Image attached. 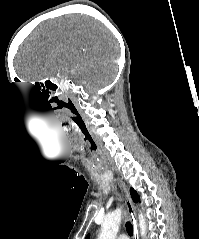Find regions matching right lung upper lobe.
Returning <instances> with one entry per match:
<instances>
[{
  "label": "right lung upper lobe",
  "instance_id": "cb5924a9",
  "mask_svg": "<svg viewBox=\"0 0 199 239\" xmlns=\"http://www.w3.org/2000/svg\"><path fill=\"white\" fill-rule=\"evenodd\" d=\"M86 239H90V235H88V236L86 237Z\"/></svg>",
  "mask_w": 199,
  "mask_h": 239
}]
</instances>
